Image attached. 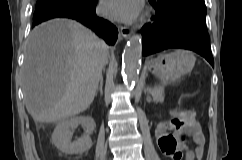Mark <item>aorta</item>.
Returning <instances> with one entry per match:
<instances>
[{
	"instance_id": "762f6f07",
	"label": "aorta",
	"mask_w": 242,
	"mask_h": 160,
	"mask_svg": "<svg viewBox=\"0 0 242 160\" xmlns=\"http://www.w3.org/2000/svg\"><path fill=\"white\" fill-rule=\"evenodd\" d=\"M142 41L139 35H133L124 51L122 63L124 77L129 81L137 79L141 65Z\"/></svg>"
}]
</instances>
